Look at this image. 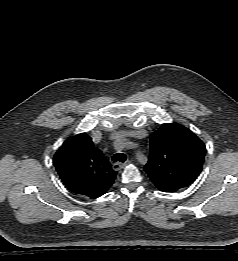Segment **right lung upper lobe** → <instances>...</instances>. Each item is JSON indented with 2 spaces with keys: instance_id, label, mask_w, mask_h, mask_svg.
I'll return each instance as SVG.
<instances>
[{
  "instance_id": "obj_1",
  "label": "right lung upper lobe",
  "mask_w": 238,
  "mask_h": 261,
  "mask_svg": "<svg viewBox=\"0 0 238 261\" xmlns=\"http://www.w3.org/2000/svg\"><path fill=\"white\" fill-rule=\"evenodd\" d=\"M53 161L68 189L89 198L106 193L117 175L86 133L69 137L56 152Z\"/></svg>"
}]
</instances>
